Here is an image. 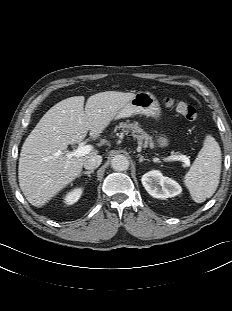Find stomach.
<instances>
[{"label": "stomach", "mask_w": 232, "mask_h": 311, "mask_svg": "<svg viewBox=\"0 0 232 311\" xmlns=\"http://www.w3.org/2000/svg\"><path fill=\"white\" fill-rule=\"evenodd\" d=\"M137 114L153 117L155 119L160 117V104L152 93L146 91L136 93L135 96L118 111L115 118H127ZM157 142L161 147H165L169 143L165 136H159Z\"/></svg>", "instance_id": "obj_1"}]
</instances>
